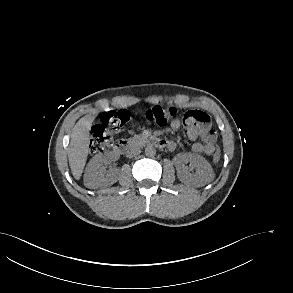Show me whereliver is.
Here are the masks:
<instances>
[{"label":"liver","mask_w":293,"mask_h":293,"mask_svg":"<svg viewBox=\"0 0 293 293\" xmlns=\"http://www.w3.org/2000/svg\"><path fill=\"white\" fill-rule=\"evenodd\" d=\"M93 117H82L74 126L68 148V159L72 174L79 180L90 151V126Z\"/></svg>","instance_id":"obj_1"}]
</instances>
